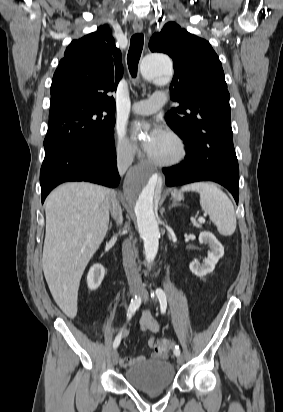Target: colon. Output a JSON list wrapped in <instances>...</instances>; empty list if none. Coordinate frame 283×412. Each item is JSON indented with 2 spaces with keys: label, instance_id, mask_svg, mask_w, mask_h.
Wrapping results in <instances>:
<instances>
[{
  "label": "colon",
  "instance_id": "1",
  "mask_svg": "<svg viewBox=\"0 0 283 412\" xmlns=\"http://www.w3.org/2000/svg\"><path fill=\"white\" fill-rule=\"evenodd\" d=\"M156 353L159 357H166L174 348V344L169 339H161L156 342Z\"/></svg>",
  "mask_w": 283,
  "mask_h": 412
}]
</instances>
